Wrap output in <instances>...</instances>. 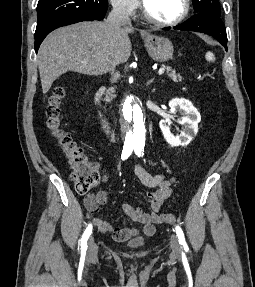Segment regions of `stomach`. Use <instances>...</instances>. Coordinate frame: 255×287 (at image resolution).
Masks as SVG:
<instances>
[{
	"label": "stomach",
	"mask_w": 255,
	"mask_h": 287,
	"mask_svg": "<svg viewBox=\"0 0 255 287\" xmlns=\"http://www.w3.org/2000/svg\"><path fill=\"white\" fill-rule=\"evenodd\" d=\"M144 44L149 56H151L155 62H167V60H170L173 56V44L168 38L147 34L144 38Z\"/></svg>",
	"instance_id": "obj_1"
}]
</instances>
